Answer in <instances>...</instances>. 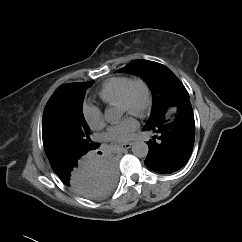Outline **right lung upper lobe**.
Listing matches in <instances>:
<instances>
[{
  "mask_svg": "<svg viewBox=\"0 0 242 242\" xmlns=\"http://www.w3.org/2000/svg\"><path fill=\"white\" fill-rule=\"evenodd\" d=\"M81 83H69L58 88L49 99V102L70 95L79 89Z\"/></svg>",
  "mask_w": 242,
  "mask_h": 242,
  "instance_id": "cb5924a9",
  "label": "right lung upper lobe"
}]
</instances>
